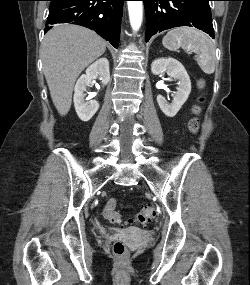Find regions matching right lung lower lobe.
Listing matches in <instances>:
<instances>
[{
    "mask_svg": "<svg viewBox=\"0 0 250 285\" xmlns=\"http://www.w3.org/2000/svg\"><path fill=\"white\" fill-rule=\"evenodd\" d=\"M45 32L56 23L81 25L118 48L123 2L126 0H50Z\"/></svg>",
    "mask_w": 250,
    "mask_h": 285,
    "instance_id": "1",
    "label": "right lung lower lobe"
}]
</instances>
